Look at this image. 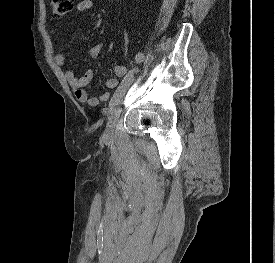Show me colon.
<instances>
[{"mask_svg": "<svg viewBox=\"0 0 275 263\" xmlns=\"http://www.w3.org/2000/svg\"><path fill=\"white\" fill-rule=\"evenodd\" d=\"M53 15L61 17L72 11L74 0H49Z\"/></svg>", "mask_w": 275, "mask_h": 263, "instance_id": "obj_1", "label": "colon"}]
</instances>
